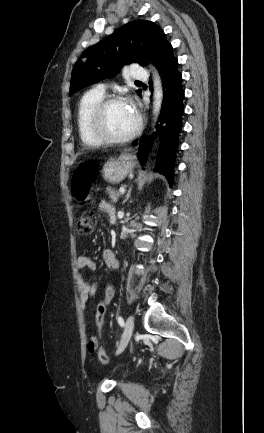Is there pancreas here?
Wrapping results in <instances>:
<instances>
[{
  "label": "pancreas",
  "mask_w": 264,
  "mask_h": 433,
  "mask_svg": "<svg viewBox=\"0 0 264 433\" xmlns=\"http://www.w3.org/2000/svg\"><path fill=\"white\" fill-rule=\"evenodd\" d=\"M107 193L109 194L111 202L113 203L117 202L119 197L122 195L120 192L111 190L110 188H107Z\"/></svg>",
  "instance_id": "obj_1"
}]
</instances>
